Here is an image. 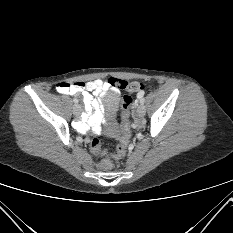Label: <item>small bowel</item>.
Returning a JSON list of instances; mask_svg holds the SVG:
<instances>
[{"mask_svg": "<svg viewBox=\"0 0 233 233\" xmlns=\"http://www.w3.org/2000/svg\"><path fill=\"white\" fill-rule=\"evenodd\" d=\"M110 87L109 82L97 79L87 82H61L57 85L56 90L62 94H82L84 113L76 123V127L81 132H87L91 129L95 134H99L104 116V108L101 102L94 98V95L103 97ZM143 94L144 92L141 90L137 96L141 97Z\"/></svg>", "mask_w": 233, "mask_h": 233, "instance_id": "small-bowel-1", "label": "small bowel"}]
</instances>
